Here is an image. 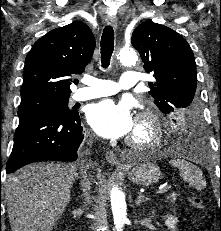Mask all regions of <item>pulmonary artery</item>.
<instances>
[{
    "label": "pulmonary artery",
    "mask_w": 221,
    "mask_h": 231,
    "mask_svg": "<svg viewBox=\"0 0 221 231\" xmlns=\"http://www.w3.org/2000/svg\"><path fill=\"white\" fill-rule=\"evenodd\" d=\"M138 78V74L132 71L124 72L119 84L92 76L85 77L83 79V83L86 87L79 88L73 94V100L85 101L93 98L113 95L118 93L121 89L134 88L138 83Z\"/></svg>",
    "instance_id": "1"
}]
</instances>
